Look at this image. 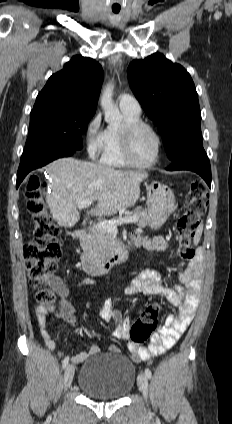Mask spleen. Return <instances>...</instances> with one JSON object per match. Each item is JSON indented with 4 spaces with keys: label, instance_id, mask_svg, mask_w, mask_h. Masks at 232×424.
Wrapping results in <instances>:
<instances>
[{
    "label": "spleen",
    "instance_id": "3e777b00",
    "mask_svg": "<svg viewBox=\"0 0 232 424\" xmlns=\"http://www.w3.org/2000/svg\"><path fill=\"white\" fill-rule=\"evenodd\" d=\"M202 231H203V224L201 223L197 229H196V234L194 236L193 242L195 245H197L200 241L201 235H202Z\"/></svg>",
    "mask_w": 232,
    "mask_h": 424
}]
</instances>
